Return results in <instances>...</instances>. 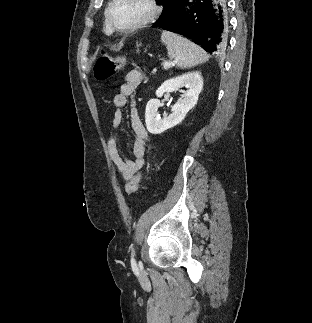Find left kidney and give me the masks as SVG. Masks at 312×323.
<instances>
[{
    "label": "left kidney",
    "mask_w": 312,
    "mask_h": 323,
    "mask_svg": "<svg viewBox=\"0 0 312 323\" xmlns=\"http://www.w3.org/2000/svg\"><path fill=\"white\" fill-rule=\"evenodd\" d=\"M181 86H185L187 90H180ZM203 88V78L201 72H188L184 76L171 78L166 80L158 90H156L157 98H161L164 92H181V100L171 106V114H165L164 118H160L158 108L163 106L160 100H149L146 106L145 122L146 128L150 134H162L169 128H174L184 120L187 112L194 108L197 104L198 96Z\"/></svg>",
    "instance_id": "left-kidney-1"
}]
</instances>
